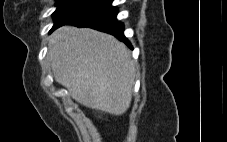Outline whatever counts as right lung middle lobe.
Here are the masks:
<instances>
[{
    "label": "right lung middle lobe",
    "mask_w": 227,
    "mask_h": 142,
    "mask_svg": "<svg viewBox=\"0 0 227 142\" xmlns=\"http://www.w3.org/2000/svg\"><path fill=\"white\" fill-rule=\"evenodd\" d=\"M112 0H57L53 13L54 26L109 6Z\"/></svg>",
    "instance_id": "obj_1"
}]
</instances>
